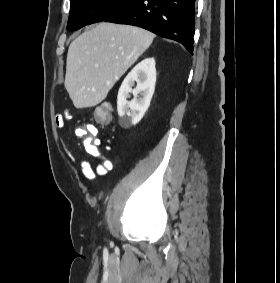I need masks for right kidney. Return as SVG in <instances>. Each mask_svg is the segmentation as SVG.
I'll return each instance as SVG.
<instances>
[{"label": "right kidney", "mask_w": 280, "mask_h": 283, "mask_svg": "<svg viewBox=\"0 0 280 283\" xmlns=\"http://www.w3.org/2000/svg\"><path fill=\"white\" fill-rule=\"evenodd\" d=\"M135 82L137 86L132 89ZM155 59L146 58L138 63L125 77L118 92L117 111L119 124L129 128L136 125L147 111L155 90ZM130 93L134 98L129 102ZM138 95L141 97L138 98Z\"/></svg>", "instance_id": "obj_1"}]
</instances>
